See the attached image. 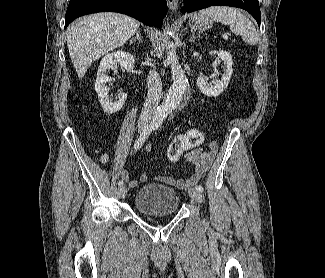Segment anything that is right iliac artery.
<instances>
[{
	"label": "right iliac artery",
	"instance_id": "82829eb1",
	"mask_svg": "<svg viewBox=\"0 0 325 278\" xmlns=\"http://www.w3.org/2000/svg\"><path fill=\"white\" fill-rule=\"evenodd\" d=\"M154 129H155L154 124H149L143 129L142 133L140 134V137L138 138V140L134 144V149L135 150L142 147V145L144 144V142L146 141V139L148 138V136L150 135V133ZM123 184H124L123 181L118 182L119 186H123Z\"/></svg>",
	"mask_w": 325,
	"mask_h": 278
}]
</instances>
